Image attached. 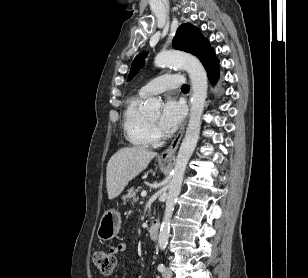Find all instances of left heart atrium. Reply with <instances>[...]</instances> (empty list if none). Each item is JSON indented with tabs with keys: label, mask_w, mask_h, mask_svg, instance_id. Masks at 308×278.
<instances>
[{
	"label": "left heart atrium",
	"mask_w": 308,
	"mask_h": 278,
	"mask_svg": "<svg viewBox=\"0 0 308 278\" xmlns=\"http://www.w3.org/2000/svg\"><path fill=\"white\" fill-rule=\"evenodd\" d=\"M185 116V108L182 103L173 98L165 101L159 118V125L167 132H174L182 123Z\"/></svg>",
	"instance_id": "39dd6f15"
}]
</instances>
